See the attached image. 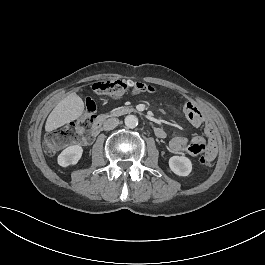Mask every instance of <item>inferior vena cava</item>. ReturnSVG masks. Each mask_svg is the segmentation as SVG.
<instances>
[{"label":"inferior vena cava","mask_w":265,"mask_h":265,"mask_svg":"<svg viewBox=\"0 0 265 265\" xmlns=\"http://www.w3.org/2000/svg\"><path fill=\"white\" fill-rule=\"evenodd\" d=\"M119 123V120L117 118H109L106 119L103 123V129L105 131H109L114 129Z\"/></svg>","instance_id":"602c4592"}]
</instances>
